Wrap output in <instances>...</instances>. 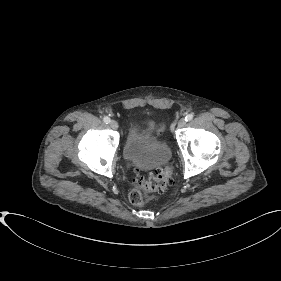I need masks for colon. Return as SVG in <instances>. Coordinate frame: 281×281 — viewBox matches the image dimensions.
<instances>
[{"mask_svg":"<svg viewBox=\"0 0 281 281\" xmlns=\"http://www.w3.org/2000/svg\"><path fill=\"white\" fill-rule=\"evenodd\" d=\"M165 129V125H160L156 135L161 134ZM135 187L129 192L130 202L135 206H143L147 199L145 193L164 192L173 182V173L169 167L157 169L148 177H133Z\"/></svg>","mask_w":281,"mask_h":281,"instance_id":"5ec220e1","label":"colon"}]
</instances>
